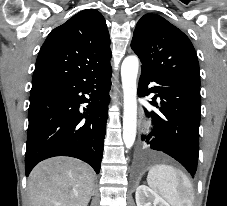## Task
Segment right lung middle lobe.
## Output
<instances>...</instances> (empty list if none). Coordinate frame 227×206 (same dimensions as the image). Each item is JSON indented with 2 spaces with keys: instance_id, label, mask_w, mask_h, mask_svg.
Instances as JSON below:
<instances>
[{
  "instance_id": "1",
  "label": "right lung middle lobe",
  "mask_w": 227,
  "mask_h": 206,
  "mask_svg": "<svg viewBox=\"0 0 227 206\" xmlns=\"http://www.w3.org/2000/svg\"><path fill=\"white\" fill-rule=\"evenodd\" d=\"M49 83H50V82L32 84L31 92L34 91V90H37V89H39V88L45 87V86H47Z\"/></svg>"
}]
</instances>
